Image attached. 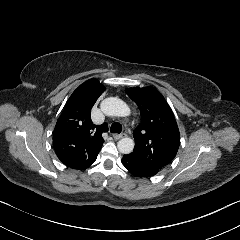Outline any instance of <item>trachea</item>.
<instances>
[{
  "label": "trachea",
  "mask_w": 240,
  "mask_h": 240,
  "mask_svg": "<svg viewBox=\"0 0 240 240\" xmlns=\"http://www.w3.org/2000/svg\"><path fill=\"white\" fill-rule=\"evenodd\" d=\"M110 132L120 134L122 132V125L118 122H114L110 127Z\"/></svg>",
  "instance_id": "trachea-1"
}]
</instances>
